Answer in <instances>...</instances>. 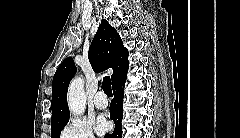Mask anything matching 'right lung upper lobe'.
<instances>
[{
	"mask_svg": "<svg viewBox=\"0 0 240 138\" xmlns=\"http://www.w3.org/2000/svg\"><path fill=\"white\" fill-rule=\"evenodd\" d=\"M88 57L96 73L108 68L113 69L112 87L126 79L128 70L127 48L123 46L117 31L106 20H102L99 25L90 46ZM75 73L76 66L73 59L69 57L60 64L53 77L51 126L69 121L67 91Z\"/></svg>",
	"mask_w": 240,
	"mask_h": 138,
	"instance_id": "obj_1",
	"label": "right lung upper lobe"
}]
</instances>
